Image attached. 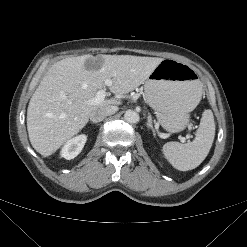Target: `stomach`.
I'll return each mask as SVG.
<instances>
[{
  "mask_svg": "<svg viewBox=\"0 0 247 247\" xmlns=\"http://www.w3.org/2000/svg\"><path fill=\"white\" fill-rule=\"evenodd\" d=\"M146 100L161 126L170 133L186 128L202 97V84L191 66L163 59L144 83Z\"/></svg>",
  "mask_w": 247,
  "mask_h": 247,
  "instance_id": "obj_1",
  "label": "stomach"
}]
</instances>
